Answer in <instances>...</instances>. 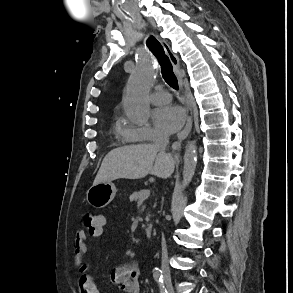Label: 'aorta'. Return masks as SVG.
I'll use <instances>...</instances> for the list:
<instances>
[{
  "label": "aorta",
  "mask_w": 293,
  "mask_h": 293,
  "mask_svg": "<svg viewBox=\"0 0 293 293\" xmlns=\"http://www.w3.org/2000/svg\"><path fill=\"white\" fill-rule=\"evenodd\" d=\"M157 69L151 58L139 60L131 73L123 99L126 114L138 123H145L150 118L147 102L151 84L155 80ZM197 165V147L195 141L187 145L184 154L183 181L180 189L184 190L191 182Z\"/></svg>",
  "instance_id": "1"
}]
</instances>
